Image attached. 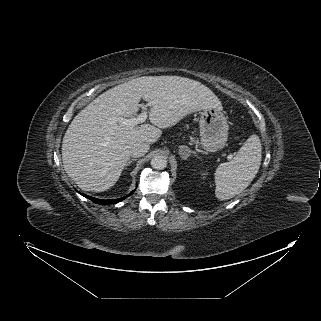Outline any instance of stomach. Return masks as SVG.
<instances>
[{
	"label": "stomach",
	"mask_w": 321,
	"mask_h": 321,
	"mask_svg": "<svg viewBox=\"0 0 321 321\" xmlns=\"http://www.w3.org/2000/svg\"><path fill=\"white\" fill-rule=\"evenodd\" d=\"M200 138L206 151L215 152L222 149L228 138L227 118L222 109L208 108L200 113Z\"/></svg>",
	"instance_id": "0dacf381"
}]
</instances>
